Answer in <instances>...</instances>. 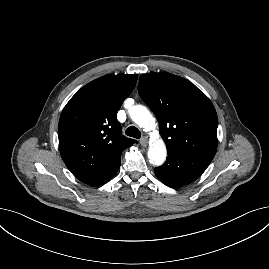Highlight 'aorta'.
Wrapping results in <instances>:
<instances>
[{
	"instance_id": "762f6f07",
	"label": "aorta",
	"mask_w": 269,
	"mask_h": 269,
	"mask_svg": "<svg viewBox=\"0 0 269 269\" xmlns=\"http://www.w3.org/2000/svg\"><path fill=\"white\" fill-rule=\"evenodd\" d=\"M130 118L146 131L155 130L156 123L150 111L143 105H134L128 109ZM148 159L153 165H162L167 156V149L162 139H155L151 142L148 149Z\"/></svg>"
}]
</instances>
